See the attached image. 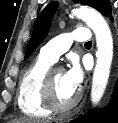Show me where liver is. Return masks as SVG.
Masks as SVG:
<instances>
[{
  "label": "liver",
  "instance_id": "6515ba94",
  "mask_svg": "<svg viewBox=\"0 0 118 123\" xmlns=\"http://www.w3.org/2000/svg\"><path fill=\"white\" fill-rule=\"evenodd\" d=\"M10 123H51L50 121H36L30 119H14Z\"/></svg>",
  "mask_w": 118,
  "mask_h": 123
}]
</instances>
